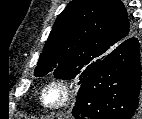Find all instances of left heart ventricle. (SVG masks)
Wrapping results in <instances>:
<instances>
[{
  "label": "left heart ventricle",
  "instance_id": "left-heart-ventricle-1",
  "mask_svg": "<svg viewBox=\"0 0 142 119\" xmlns=\"http://www.w3.org/2000/svg\"><path fill=\"white\" fill-rule=\"evenodd\" d=\"M55 97V94H50L49 98L53 99Z\"/></svg>",
  "mask_w": 142,
  "mask_h": 119
}]
</instances>
